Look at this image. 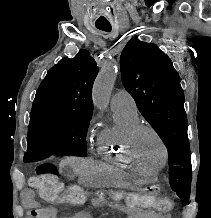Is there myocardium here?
<instances>
[{"label": "myocardium", "instance_id": "obj_1", "mask_svg": "<svg viewBox=\"0 0 211 218\" xmlns=\"http://www.w3.org/2000/svg\"><path fill=\"white\" fill-rule=\"evenodd\" d=\"M142 131L151 132L158 140L161 146V149H162V162L160 163V165H164L167 160L168 153H167V148H166V145L164 143L162 136L154 127L148 124L141 123V122L136 124L134 127H132L128 134V147L130 150L131 158L135 159L141 164L140 159L137 156L136 149H137L138 136Z\"/></svg>", "mask_w": 211, "mask_h": 218}]
</instances>
